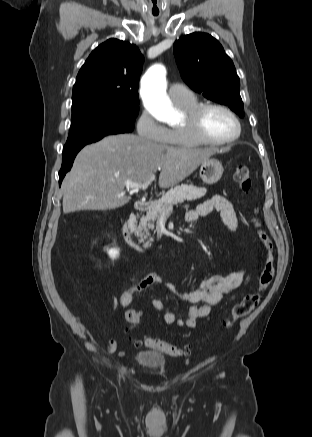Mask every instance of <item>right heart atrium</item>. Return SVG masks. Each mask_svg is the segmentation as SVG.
Here are the masks:
<instances>
[{
	"label": "right heart atrium",
	"mask_w": 312,
	"mask_h": 437,
	"mask_svg": "<svg viewBox=\"0 0 312 437\" xmlns=\"http://www.w3.org/2000/svg\"><path fill=\"white\" fill-rule=\"evenodd\" d=\"M136 128L141 138L155 143H165L169 136V130L147 110L141 112Z\"/></svg>",
	"instance_id": "obj_1"
}]
</instances>
